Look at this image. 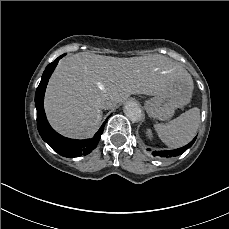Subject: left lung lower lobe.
Instances as JSON below:
<instances>
[{
  "instance_id": "left-lung-lower-lobe-1",
  "label": "left lung lower lobe",
  "mask_w": 229,
  "mask_h": 229,
  "mask_svg": "<svg viewBox=\"0 0 229 229\" xmlns=\"http://www.w3.org/2000/svg\"><path fill=\"white\" fill-rule=\"evenodd\" d=\"M196 138H194L190 143L185 145L182 148L174 149V150H167V151H153V156H159V157H175L183 154L188 148H190L193 143L195 142Z\"/></svg>"
}]
</instances>
